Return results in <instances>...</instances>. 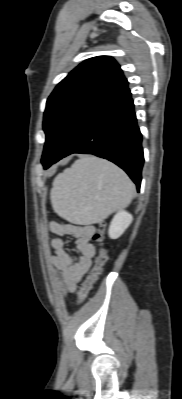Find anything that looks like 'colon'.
Returning a JSON list of instances; mask_svg holds the SVG:
<instances>
[{
  "label": "colon",
  "instance_id": "colon-1",
  "mask_svg": "<svg viewBox=\"0 0 182 399\" xmlns=\"http://www.w3.org/2000/svg\"><path fill=\"white\" fill-rule=\"evenodd\" d=\"M93 239L99 245V252L96 257L94 266L90 272V274L86 277V279L80 285L79 293H78V302H82L89 292L91 291L94 283L96 282L98 276L102 273L103 266L107 261V254L106 250L103 246V239H104V225L101 224L95 231L93 235Z\"/></svg>",
  "mask_w": 182,
  "mask_h": 399
}]
</instances>
